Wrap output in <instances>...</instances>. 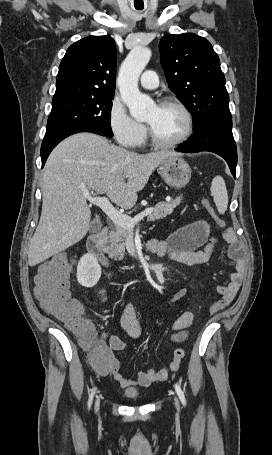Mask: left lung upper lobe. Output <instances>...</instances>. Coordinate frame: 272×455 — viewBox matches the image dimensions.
Wrapping results in <instances>:
<instances>
[{"label": "left lung upper lobe", "mask_w": 272, "mask_h": 455, "mask_svg": "<svg viewBox=\"0 0 272 455\" xmlns=\"http://www.w3.org/2000/svg\"><path fill=\"white\" fill-rule=\"evenodd\" d=\"M159 48L169 88L192 114L194 131L231 119L220 60L207 39L194 33L167 34Z\"/></svg>", "instance_id": "left-lung-upper-lobe-1"}]
</instances>
